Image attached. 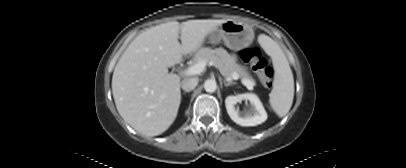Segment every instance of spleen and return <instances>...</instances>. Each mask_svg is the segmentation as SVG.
I'll return each mask as SVG.
<instances>
[{
    "label": "spleen",
    "instance_id": "1",
    "mask_svg": "<svg viewBox=\"0 0 406 168\" xmlns=\"http://www.w3.org/2000/svg\"><path fill=\"white\" fill-rule=\"evenodd\" d=\"M262 47L272 58L275 69L273 88L269 94V103L279 117L290 110L294 98V78L289 62L281 47L269 37H264Z\"/></svg>",
    "mask_w": 406,
    "mask_h": 168
}]
</instances>
